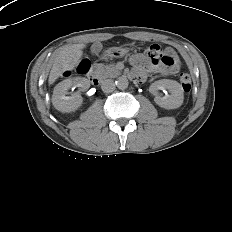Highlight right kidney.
Segmentation results:
<instances>
[{
  "mask_svg": "<svg viewBox=\"0 0 232 232\" xmlns=\"http://www.w3.org/2000/svg\"><path fill=\"white\" fill-rule=\"evenodd\" d=\"M89 86L90 83L83 77L63 80L54 88L52 95L53 106L64 113L77 110L82 105L83 99L79 93H75L71 97L66 96L68 90L73 87H80L81 91H85Z\"/></svg>",
  "mask_w": 232,
  "mask_h": 232,
  "instance_id": "ca27d5eb",
  "label": "right kidney"
}]
</instances>
